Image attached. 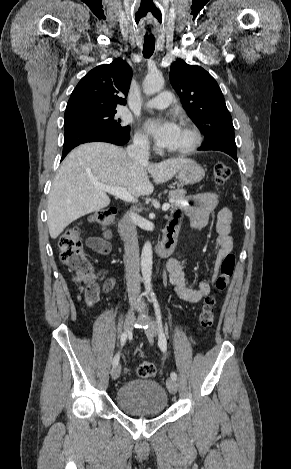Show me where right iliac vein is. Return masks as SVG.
<instances>
[{
  "instance_id": "obj_1",
  "label": "right iliac vein",
  "mask_w": 291,
  "mask_h": 469,
  "mask_svg": "<svg viewBox=\"0 0 291 469\" xmlns=\"http://www.w3.org/2000/svg\"><path fill=\"white\" fill-rule=\"evenodd\" d=\"M135 321V314H134V308L130 309L128 312L126 319H125V324H124V330L126 333H130L132 326ZM121 373V366L119 364L115 365L112 370H111V377L116 380L119 378Z\"/></svg>"
}]
</instances>
